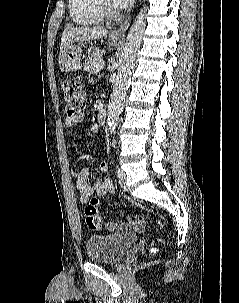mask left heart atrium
I'll use <instances>...</instances> for the list:
<instances>
[{
  "mask_svg": "<svg viewBox=\"0 0 239 303\" xmlns=\"http://www.w3.org/2000/svg\"><path fill=\"white\" fill-rule=\"evenodd\" d=\"M133 0H113V3L118 8H126Z\"/></svg>",
  "mask_w": 239,
  "mask_h": 303,
  "instance_id": "39dd6f15",
  "label": "left heart atrium"
}]
</instances>
